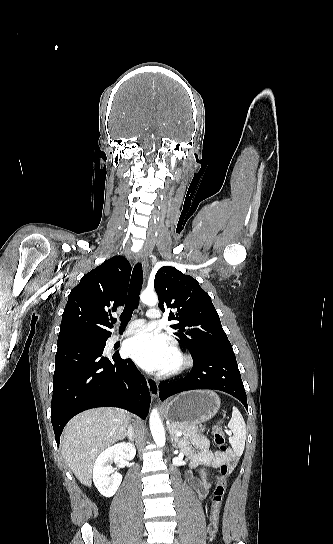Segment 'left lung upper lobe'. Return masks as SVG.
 Instances as JSON below:
<instances>
[{
    "instance_id": "5c2ea615",
    "label": "left lung upper lobe",
    "mask_w": 333,
    "mask_h": 544,
    "mask_svg": "<svg viewBox=\"0 0 333 544\" xmlns=\"http://www.w3.org/2000/svg\"><path fill=\"white\" fill-rule=\"evenodd\" d=\"M154 288L159 308L163 312L174 309L168 319L178 323L170 327L178 331L174 335L192 357L211 350L233 352L211 298L197 280L174 267L164 266L155 275Z\"/></svg>"
}]
</instances>
